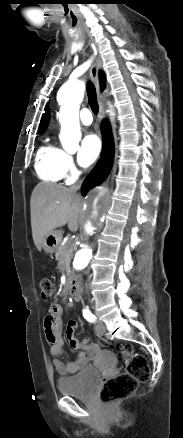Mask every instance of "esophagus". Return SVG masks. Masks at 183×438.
Wrapping results in <instances>:
<instances>
[{
	"label": "esophagus",
	"mask_w": 183,
	"mask_h": 438,
	"mask_svg": "<svg viewBox=\"0 0 183 438\" xmlns=\"http://www.w3.org/2000/svg\"><path fill=\"white\" fill-rule=\"evenodd\" d=\"M102 67V60L99 56H96L94 62L92 63L90 67V77L92 79V82L94 83L98 95V103H99V114L98 119L101 121L104 117V107L101 100L100 95V83H99V70Z\"/></svg>",
	"instance_id": "obj_1"
}]
</instances>
